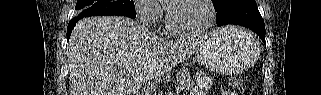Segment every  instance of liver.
<instances>
[{
	"label": "liver",
	"mask_w": 321,
	"mask_h": 95,
	"mask_svg": "<svg viewBox=\"0 0 321 95\" xmlns=\"http://www.w3.org/2000/svg\"><path fill=\"white\" fill-rule=\"evenodd\" d=\"M202 42L166 40L121 16L83 18L67 48L70 95H135Z\"/></svg>",
	"instance_id": "1"
}]
</instances>
